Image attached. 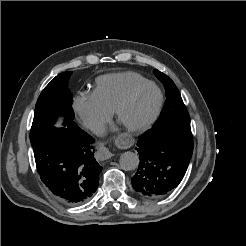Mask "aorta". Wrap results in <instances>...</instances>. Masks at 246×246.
I'll return each mask as SVG.
<instances>
[{
  "mask_svg": "<svg viewBox=\"0 0 246 246\" xmlns=\"http://www.w3.org/2000/svg\"><path fill=\"white\" fill-rule=\"evenodd\" d=\"M120 166L124 170H134L139 165V156L136 153L127 151L120 156Z\"/></svg>",
  "mask_w": 246,
  "mask_h": 246,
  "instance_id": "aorta-1",
  "label": "aorta"
}]
</instances>
